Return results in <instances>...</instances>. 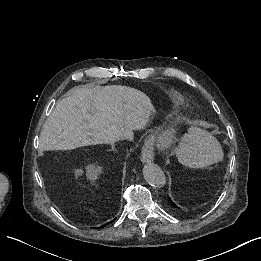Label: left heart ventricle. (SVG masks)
Segmentation results:
<instances>
[{"label": "left heart ventricle", "mask_w": 261, "mask_h": 261, "mask_svg": "<svg viewBox=\"0 0 261 261\" xmlns=\"http://www.w3.org/2000/svg\"><path fill=\"white\" fill-rule=\"evenodd\" d=\"M168 139V134L164 129H159L155 137V143H164Z\"/></svg>", "instance_id": "b2bd125f"}]
</instances>
